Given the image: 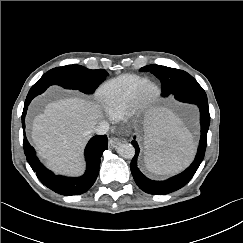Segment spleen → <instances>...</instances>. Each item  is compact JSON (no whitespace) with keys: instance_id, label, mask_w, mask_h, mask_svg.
Returning <instances> with one entry per match:
<instances>
[{"instance_id":"1","label":"spleen","mask_w":243,"mask_h":243,"mask_svg":"<svg viewBox=\"0 0 243 243\" xmlns=\"http://www.w3.org/2000/svg\"><path fill=\"white\" fill-rule=\"evenodd\" d=\"M145 165L150 172L169 174L185 167L193 157L195 143L180 119L164 109L145 118Z\"/></svg>"}]
</instances>
